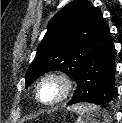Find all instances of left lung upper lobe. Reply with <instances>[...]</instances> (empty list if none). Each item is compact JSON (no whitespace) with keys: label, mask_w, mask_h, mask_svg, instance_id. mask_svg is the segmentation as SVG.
Instances as JSON below:
<instances>
[{"label":"left lung upper lobe","mask_w":122,"mask_h":123,"mask_svg":"<svg viewBox=\"0 0 122 123\" xmlns=\"http://www.w3.org/2000/svg\"><path fill=\"white\" fill-rule=\"evenodd\" d=\"M109 36V27L98 8L86 0L70 2L50 20L26 72V88L51 70H61L76 81Z\"/></svg>","instance_id":"obj_1"}]
</instances>
